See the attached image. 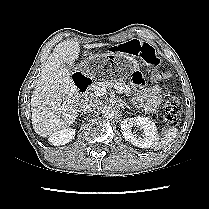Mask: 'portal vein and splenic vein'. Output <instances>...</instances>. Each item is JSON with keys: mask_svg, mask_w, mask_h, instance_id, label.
Wrapping results in <instances>:
<instances>
[{"mask_svg": "<svg viewBox=\"0 0 209 209\" xmlns=\"http://www.w3.org/2000/svg\"><path fill=\"white\" fill-rule=\"evenodd\" d=\"M115 90H117L118 93L122 94L123 93V87L121 86H118V85H113L112 86ZM106 87H99V88H96L94 90V95L95 96H98V97H101L103 95L106 94Z\"/></svg>", "mask_w": 209, "mask_h": 209, "instance_id": "portal-vein-and-splenic-vein-1", "label": "portal vein and splenic vein"}]
</instances>
